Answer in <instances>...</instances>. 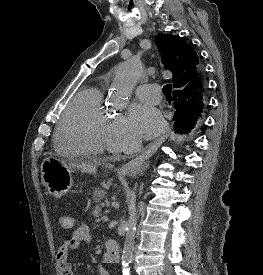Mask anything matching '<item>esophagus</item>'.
Returning a JSON list of instances; mask_svg holds the SVG:
<instances>
[{
	"label": "esophagus",
	"mask_w": 263,
	"mask_h": 275,
	"mask_svg": "<svg viewBox=\"0 0 263 275\" xmlns=\"http://www.w3.org/2000/svg\"><path fill=\"white\" fill-rule=\"evenodd\" d=\"M166 136L167 131L165 130L157 139L151 142L138 157L123 165L121 173L124 175H133L142 170L144 168V162L157 151Z\"/></svg>",
	"instance_id": "obj_1"
}]
</instances>
